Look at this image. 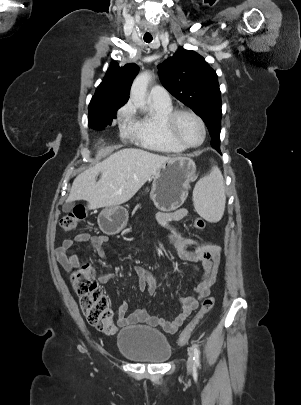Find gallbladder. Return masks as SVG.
<instances>
[{
    "label": "gallbladder",
    "mask_w": 301,
    "mask_h": 405,
    "mask_svg": "<svg viewBox=\"0 0 301 405\" xmlns=\"http://www.w3.org/2000/svg\"><path fill=\"white\" fill-rule=\"evenodd\" d=\"M74 206H75V204L73 202H67L63 205L62 211L70 212L71 210H73Z\"/></svg>",
    "instance_id": "1"
}]
</instances>
